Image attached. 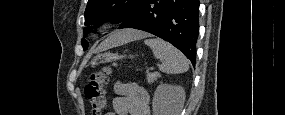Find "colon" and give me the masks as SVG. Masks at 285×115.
I'll use <instances>...</instances> for the list:
<instances>
[{
    "label": "colon",
    "mask_w": 285,
    "mask_h": 115,
    "mask_svg": "<svg viewBox=\"0 0 285 115\" xmlns=\"http://www.w3.org/2000/svg\"><path fill=\"white\" fill-rule=\"evenodd\" d=\"M111 67L101 66L90 77L85 86V95L89 101L93 115H101L106 107L105 86L108 82Z\"/></svg>",
    "instance_id": "obj_1"
}]
</instances>
